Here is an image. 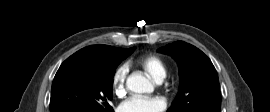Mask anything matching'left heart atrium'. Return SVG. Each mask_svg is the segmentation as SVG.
Listing matches in <instances>:
<instances>
[{"label":"left heart atrium","instance_id":"1","mask_svg":"<svg viewBox=\"0 0 270 112\" xmlns=\"http://www.w3.org/2000/svg\"><path fill=\"white\" fill-rule=\"evenodd\" d=\"M166 107L161 97H131L121 103L119 112H162Z\"/></svg>","mask_w":270,"mask_h":112}]
</instances>
